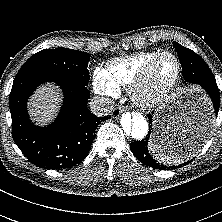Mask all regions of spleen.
<instances>
[{"label":"spleen","mask_w":222,"mask_h":222,"mask_svg":"<svg viewBox=\"0 0 222 222\" xmlns=\"http://www.w3.org/2000/svg\"><path fill=\"white\" fill-rule=\"evenodd\" d=\"M148 149L156 160L167 165L181 164L190 155V153L173 152L170 147L156 143L153 140H150Z\"/></svg>","instance_id":"obj_1"}]
</instances>
